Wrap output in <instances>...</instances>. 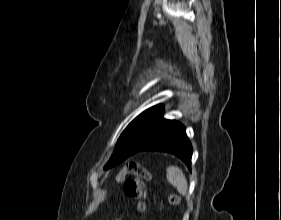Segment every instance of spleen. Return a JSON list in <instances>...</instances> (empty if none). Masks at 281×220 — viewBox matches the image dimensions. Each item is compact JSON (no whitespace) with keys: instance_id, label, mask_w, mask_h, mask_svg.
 I'll list each match as a JSON object with an SVG mask.
<instances>
[{"instance_id":"spleen-1","label":"spleen","mask_w":281,"mask_h":220,"mask_svg":"<svg viewBox=\"0 0 281 220\" xmlns=\"http://www.w3.org/2000/svg\"><path fill=\"white\" fill-rule=\"evenodd\" d=\"M166 177L168 182L176 187L178 192L182 195H187L188 193V183L183 171L176 166H169L166 169Z\"/></svg>"}]
</instances>
